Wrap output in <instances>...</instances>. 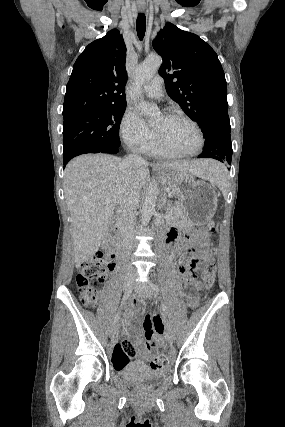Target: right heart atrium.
Listing matches in <instances>:
<instances>
[{"label": "right heart atrium", "mask_w": 285, "mask_h": 427, "mask_svg": "<svg viewBox=\"0 0 285 427\" xmlns=\"http://www.w3.org/2000/svg\"><path fill=\"white\" fill-rule=\"evenodd\" d=\"M120 131L125 144L137 152H145L155 142L152 129L133 110L125 112Z\"/></svg>", "instance_id": "1"}]
</instances>
